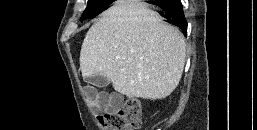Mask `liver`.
Instances as JSON below:
<instances>
[{
  "mask_svg": "<svg viewBox=\"0 0 257 130\" xmlns=\"http://www.w3.org/2000/svg\"><path fill=\"white\" fill-rule=\"evenodd\" d=\"M186 58L181 32L138 0L116 2L91 26L82 43L83 77L103 75L128 97L169 96L179 84Z\"/></svg>",
  "mask_w": 257,
  "mask_h": 130,
  "instance_id": "obj_1",
  "label": "liver"
}]
</instances>
